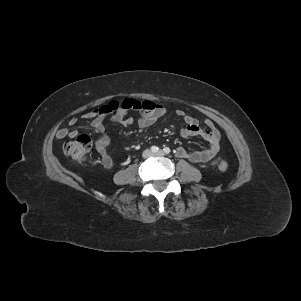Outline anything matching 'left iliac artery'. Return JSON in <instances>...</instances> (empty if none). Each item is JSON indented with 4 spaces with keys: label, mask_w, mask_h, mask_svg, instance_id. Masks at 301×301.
Returning a JSON list of instances; mask_svg holds the SVG:
<instances>
[{
    "label": "left iliac artery",
    "mask_w": 301,
    "mask_h": 301,
    "mask_svg": "<svg viewBox=\"0 0 301 301\" xmlns=\"http://www.w3.org/2000/svg\"><path fill=\"white\" fill-rule=\"evenodd\" d=\"M163 150L166 154H169L171 151L169 147H165Z\"/></svg>",
    "instance_id": "left-iliac-artery-1"
}]
</instances>
